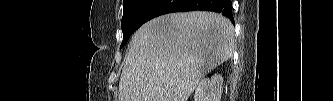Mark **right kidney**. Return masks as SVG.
<instances>
[{"instance_id":"right-kidney-1","label":"right kidney","mask_w":333,"mask_h":101,"mask_svg":"<svg viewBox=\"0 0 333 101\" xmlns=\"http://www.w3.org/2000/svg\"><path fill=\"white\" fill-rule=\"evenodd\" d=\"M223 77L219 74L213 75L210 79H202L194 95L195 101H220L223 91Z\"/></svg>"}]
</instances>
